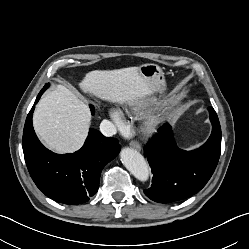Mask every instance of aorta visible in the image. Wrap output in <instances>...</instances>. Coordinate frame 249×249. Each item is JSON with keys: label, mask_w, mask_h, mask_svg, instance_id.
I'll use <instances>...</instances> for the list:
<instances>
[{"label": "aorta", "mask_w": 249, "mask_h": 249, "mask_svg": "<svg viewBox=\"0 0 249 249\" xmlns=\"http://www.w3.org/2000/svg\"><path fill=\"white\" fill-rule=\"evenodd\" d=\"M121 162L127 170L139 181L145 182L149 178V167L144 157L132 148H124L120 153Z\"/></svg>", "instance_id": "762f6f07"}]
</instances>
